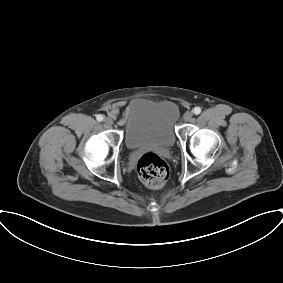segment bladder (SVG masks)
Returning a JSON list of instances; mask_svg holds the SVG:
<instances>
[{"label": "bladder", "instance_id": "31cf9c89", "mask_svg": "<svg viewBox=\"0 0 283 283\" xmlns=\"http://www.w3.org/2000/svg\"><path fill=\"white\" fill-rule=\"evenodd\" d=\"M179 110L173 101H134L127 114L124 141L130 150L142 147L171 148L176 141Z\"/></svg>", "mask_w": 283, "mask_h": 283}]
</instances>
